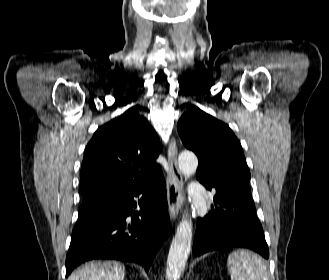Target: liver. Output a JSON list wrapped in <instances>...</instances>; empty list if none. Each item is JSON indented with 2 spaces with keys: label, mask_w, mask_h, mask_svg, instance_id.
I'll return each instance as SVG.
<instances>
[{
  "label": "liver",
  "mask_w": 329,
  "mask_h": 280,
  "mask_svg": "<svg viewBox=\"0 0 329 280\" xmlns=\"http://www.w3.org/2000/svg\"><path fill=\"white\" fill-rule=\"evenodd\" d=\"M125 267L118 262H90L73 273L68 280H124Z\"/></svg>",
  "instance_id": "1"
}]
</instances>
